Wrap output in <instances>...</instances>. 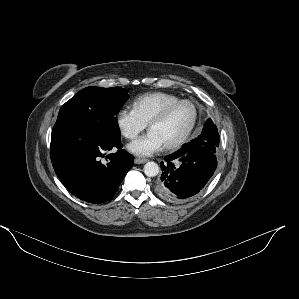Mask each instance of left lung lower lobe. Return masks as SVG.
<instances>
[{"mask_svg": "<svg viewBox=\"0 0 299 299\" xmlns=\"http://www.w3.org/2000/svg\"><path fill=\"white\" fill-rule=\"evenodd\" d=\"M208 139L205 134H200L161 162L163 172L156 185L161 198L183 201L207 184L217 167L216 153Z\"/></svg>", "mask_w": 299, "mask_h": 299, "instance_id": "0a47b994", "label": "left lung lower lobe"}]
</instances>
